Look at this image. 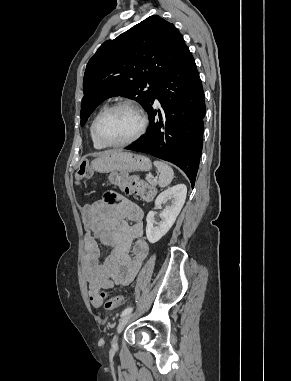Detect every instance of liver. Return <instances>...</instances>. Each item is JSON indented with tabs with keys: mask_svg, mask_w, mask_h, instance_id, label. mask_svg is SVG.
<instances>
[{
	"mask_svg": "<svg viewBox=\"0 0 291 381\" xmlns=\"http://www.w3.org/2000/svg\"><path fill=\"white\" fill-rule=\"evenodd\" d=\"M108 153H112V152H105V153H102V154H108ZM102 154H101V155H102Z\"/></svg>",
	"mask_w": 291,
	"mask_h": 381,
	"instance_id": "obj_1",
	"label": "liver"
}]
</instances>
